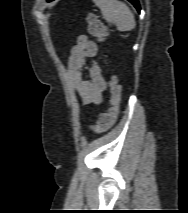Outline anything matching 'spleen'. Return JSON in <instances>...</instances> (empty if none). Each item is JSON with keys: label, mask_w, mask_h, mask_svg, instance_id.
<instances>
[{"label": "spleen", "mask_w": 188, "mask_h": 213, "mask_svg": "<svg viewBox=\"0 0 188 213\" xmlns=\"http://www.w3.org/2000/svg\"><path fill=\"white\" fill-rule=\"evenodd\" d=\"M100 8L104 19L114 23L119 31H131L135 28V18L129 7L119 0H93Z\"/></svg>", "instance_id": "3e777b00"}]
</instances>
